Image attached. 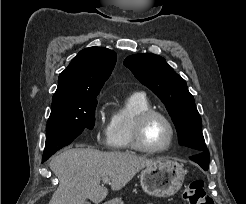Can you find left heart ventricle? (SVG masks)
<instances>
[{"mask_svg": "<svg viewBox=\"0 0 246 204\" xmlns=\"http://www.w3.org/2000/svg\"><path fill=\"white\" fill-rule=\"evenodd\" d=\"M170 130L167 124L159 117H153L144 130V141L151 148L164 147L169 140Z\"/></svg>", "mask_w": 246, "mask_h": 204, "instance_id": "1", "label": "left heart ventricle"}]
</instances>
